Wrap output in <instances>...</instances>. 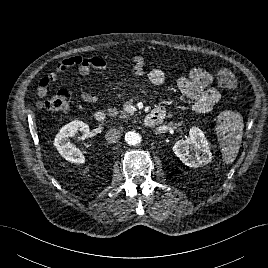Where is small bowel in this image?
Wrapping results in <instances>:
<instances>
[{
  "label": "small bowel",
  "mask_w": 268,
  "mask_h": 268,
  "mask_svg": "<svg viewBox=\"0 0 268 268\" xmlns=\"http://www.w3.org/2000/svg\"><path fill=\"white\" fill-rule=\"evenodd\" d=\"M132 75L136 78L147 77L154 85H162L166 80L163 70L155 68L147 71L146 60L142 56L133 57ZM75 68L82 76H88L95 71H105L108 69V62L103 57H68L57 63L54 70L46 77L40 79L37 87L38 95L44 96L48 86L55 81L62 73ZM212 77L204 69L193 68L188 76H181L177 79V85L180 92L192 102V109L197 113H207L211 111L219 101L218 91L211 86ZM43 88V92L40 91ZM98 94L84 92L83 101L93 103L97 100ZM155 110H163L164 107L159 105Z\"/></svg>",
  "instance_id": "c3829d8e"
}]
</instances>
